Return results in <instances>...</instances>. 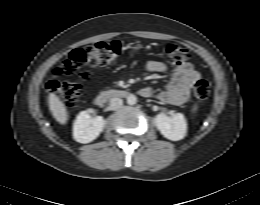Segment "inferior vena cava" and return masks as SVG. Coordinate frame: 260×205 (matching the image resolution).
Instances as JSON below:
<instances>
[{
  "label": "inferior vena cava",
  "instance_id": "obj_1",
  "mask_svg": "<svg viewBox=\"0 0 260 205\" xmlns=\"http://www.w3.org/2000/svg\"><path fill=\"white\" fill-rule=\"evenodd\" d=\"M123 105V100L118 97H114L110 99V109L111 110H118Z\"/></svg>",
  "mask_w": 260,
  "mask_h": 205
}]
</instances>
